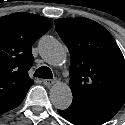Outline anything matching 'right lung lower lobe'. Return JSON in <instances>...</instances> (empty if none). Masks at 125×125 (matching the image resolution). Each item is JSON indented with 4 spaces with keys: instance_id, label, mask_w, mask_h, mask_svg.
<instances>
[{
    "instance_id": "98d812e1",
    "label": "right lung lower lobe",
    "mask_w": 125,
    "mask_h": 125,
    "mask_svg": "<svg viewBox=\"0 0 125 125\" xmlns=\"http://www.w3.org/2000/svg\"><path fill=\"white\" fill-rule=\"evenodd\" d=\"M25 96L26 95L17 96V97L8 99L6 101L0 102V114L17 107L23 101Z\"/></svg>"
}]
</instances>
